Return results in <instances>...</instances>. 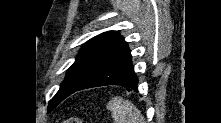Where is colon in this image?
<instances>
[{"label":"colon","mask_w":221,"mask_h":123,"mask_svg":"<svg viewBox=\"0 0 221 123\" xmlns=\"http://www.w3.org/2000/svg\"><path fill=\"white\" fill-rule=\"evenodd\" d=\"M64 123H87L85 120L78 117H69L63 121Z\"/></svg>","instance_id":"5ec220e1"}]
</instances>
